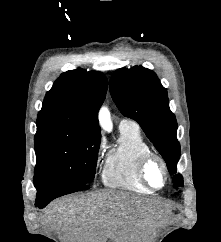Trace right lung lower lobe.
<instances>
[{"label": "right lung lower lobe", "mask_w": 221, "mask_h": 242, "mask_svg": "<svg viewBox=\"0 0 221 242\" xmlns=\"http://www.w3.org/2000/svg\"><path fill=\"white\" fill-rule=\"evenodd\" d=\"M34 185L37 189L35 206L44 208L50 201L62 195L86 190L89 187L86 184H76L72 182L41 180Z\"/></svg>", "instance_id": "obj_1"}]
</instances>
